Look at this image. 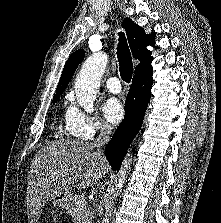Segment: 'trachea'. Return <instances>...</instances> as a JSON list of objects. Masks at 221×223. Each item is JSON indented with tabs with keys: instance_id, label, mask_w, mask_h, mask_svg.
I'll use <instances>...</instances> for the list:
<instances>
[{
	"instance_id": "3493384b",
	"label": "trachea",
	"mask_w": 221,
	"mask_h": 223,
	"mask_svg": "<svg viewBox=\"0 0 221 223\" xmlns=\"http://www.w3.org/2000/svg\"><path fill=\"white\" fill-rule=\"evenodd\" d=\"M117 57L121 78L123 81L130 83L133 74V62L126 37L122 32L119 33Z\"/></svg>"
}]
</instances>
